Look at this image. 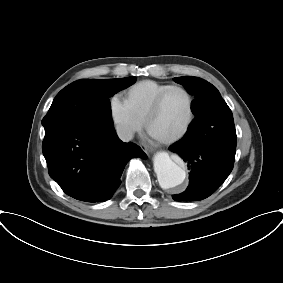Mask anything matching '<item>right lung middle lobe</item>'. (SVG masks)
I'll list each match as a JSON object with an SVG mask.
<instances>
[{"label":"right lung middle lobe","mask_w":283,"mask_h":283,"mask_svg":"<svg viewBox=\"0 0 283 283\" xmlns=\"http://www.w3.org/2000/svg\"><path fill=\"white\" fill-rule=\"evenodd\" d=\"M134 82L135 77L75 81L54 98L42 125L45 129L62 123L113 126L109 98Z\"/></svg>","instance_id":"right-lung-middle-lobe-1"}]
</instances>
